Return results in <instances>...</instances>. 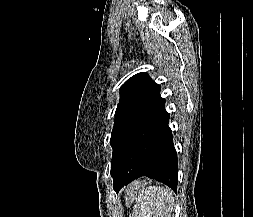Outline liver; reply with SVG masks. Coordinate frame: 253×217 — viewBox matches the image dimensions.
I'll use <instances>...</instances> for the list:
<instances>
[{
	"label": "liver",
	"instance_id": "liver-1",
	"mask_svg": "<svg viewBox=\"0 0 253 217\" xmlns=\"http://www.w3.org/2000/svg\"><path fill=\"white\" fill-rule=\"evenodd\" d=\"M141 186V183L138 181H135L132 183V185L127 189L128 195L131 193H134V190L139 188Z\"/></svg>",
	"mask_w": 253,
	"mask_h": 217
}]
</instances>
